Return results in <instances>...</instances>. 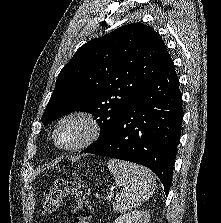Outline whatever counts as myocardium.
<instances>
[{"label": "myocardium", "mask_w": 221, "mask_h": 223, "mask_svg": "<svg viewBox=\"0 0 221 223\" xmlns=\"http://www.w3.org/2000/svg\"><path fill=\"white\" fill-rule=\"evenodd\" d=\"M69 120H79L84 125L85 131L82 138L72 144H60L57 141V133L61 126ZM102 133V124L99 119L89 111L86 110H72L62 115L56 122L53 131L52 139L56 147L62 150H78L85 148L94 143Z\"/></svg>", "instance_id": "myocardium-1"}]
</instances>
